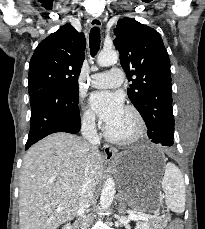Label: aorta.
<instances>
[{
  "instance_id": "aorta-1",
  "label": "aorta",
  "mask_w": 205,
  "mask_h": 229,
  "mask_svg": "<svg viewBox=\"0 0 205 229\" xmlns=\"http://www.w3.org/2000/svg\"><path fill=\"white\" fill-rule=\"evenodd\" d=\"M117 60L118 53L115 50L101 51L97 57V63L102 67L113 65L117 62ZM115 191L116 188L113 178H107L103 185V189L100 196V207L102 209H106L112 204Z\"/></svg>"
}]
</instances>
